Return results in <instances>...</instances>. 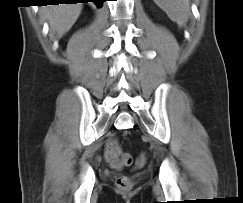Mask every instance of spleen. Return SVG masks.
Instances as JSON below:
<instances>
[{
  "mask_svg": "<svg viewBox=\"0 0 243 203\" xmlns=\"http://www.w3.org/2000/svg\"><path fill=\"white\" fill-rule=\"evenodd\" d=\"M168 17L179 26L187 22L190 14L189 0H153Z\"/></svg>",
  "mask_w": 243,
  "mask_h": 203,
  "instance_id": "spleen-1",
  "label": "spleen"
}]
</instances>
